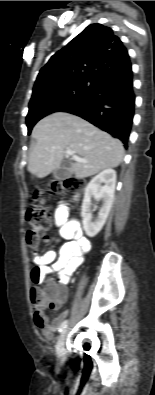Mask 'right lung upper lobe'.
Returning <instances> with one entry per match:
<instances>
[{"label":"right lung upper lobe","mask_w":155,"mask_h":395,"mask_svg":"<svg viewBox=\"0 0 155 395\" xmlns=\"http://www.w3.org/2000/svg\"><path fill=\"white\" fill-rule=\"evenodd\" d=\"M129 67L128 51L113 30L102 24H91L55 53L40 70L33 94L72 80L100 81L110 72Z\"/></svg>","instance_id":"right-lung-upper-lobe-1"}]
</instances>
